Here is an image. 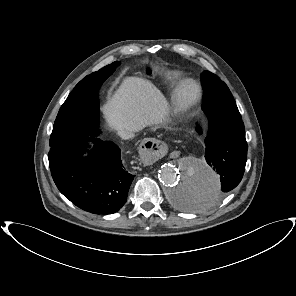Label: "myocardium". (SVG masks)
Returning <instances> with one entry per match:
<instances>
[{
	"mask_svg": "<svg viewBox=\"0 0 296 296\" xmlns=\"http://www.w3.org/2000/svg\"><path fill=\"white\" fill-rule=\"evenodd\" d=\"M200 95L201 87L198 82L192 78H186L176 85L173 100L178 107L187 108L194 104Z\"/></svg>",
	"mask_w": 296,
	"mask_h": 296,
	"instance_id": "1",
	"label": "myocardium"
}]
</instances>
